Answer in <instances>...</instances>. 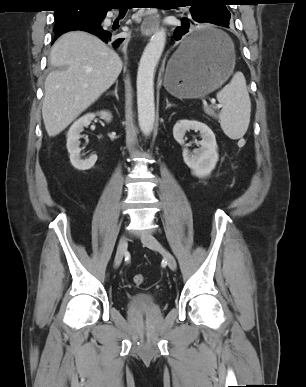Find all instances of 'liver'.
<instances>
[{
	"label": "liver",
	"mask_w": 306,
	"mask_h": 387,
	"mask_svg": "<svg viewBox=\"0 0 306 387\" xmlns=\"http://www.w3.org/2000/svg\"><path fill=\"white\" fill-rule=\"evenodd\" d=\"M49 61L58 69L45 80L42 117L48 135L53 137L113 85L123 64L103 41L83 31L59 37Z\"/></svg>",
	"instance_id": "liver-1"
}]
</instances>
